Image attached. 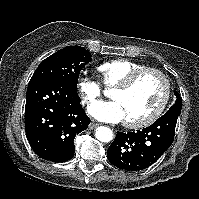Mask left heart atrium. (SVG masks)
<instances>
[{
  "mask_svg": "<svg viewBox=\"0 0 199 199\" xmlns=\"http://www.w3.org/2000/svg\"><path fill=\"white\" fill-rule=\"evenodd\" d=\"M89 113L103 122L117 123L125 119L124 110L116 100L96 102L89 107Z\"/></svg>",
  "mask_w": 199,
  "mask_h": 199,
  "instance_id": "1",
  "label": "left heart atrium"
}]
</instances>
